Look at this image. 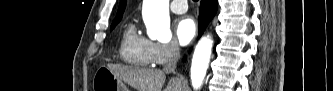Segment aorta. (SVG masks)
<instances>
[{
  "label": "aorta",
  "mask_w": 333,
  "mask_h": 91,
  "mask_svg": "<svg viewBox=\"0 0 333 91\" xmlns=\"http://www.w3.org/2000/svg\"><path fill=\"white\" fill-rule=\"evenodd\" d=\"M143 20L150 39L167 42L171 39L169 0H144ZM212 39L207 36L198 42L191 64V82L195 90L199 89L204 81L208 69Z\"/></svg>",
  "instance_id": "obj_1"
}]
</instances>
